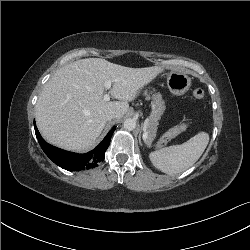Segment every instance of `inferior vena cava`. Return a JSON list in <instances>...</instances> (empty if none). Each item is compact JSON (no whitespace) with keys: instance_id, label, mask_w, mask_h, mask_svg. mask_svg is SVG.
<instances>
[{"instance_id":"1","label":"inferior vena cava","mask_w":250,"mask_h":250,"mask_svg":"<svg viewBox=\"0 0 250 250\" xmlns=\"http://www.w3.org/2000/svg\"><path fill=\"white\" fill-rule=\"evenodd\" d=\"M116 117H117V113L115 111H110L106 115L107 120H111V119L116 118Z\"/></svg>"}]
</instances>
